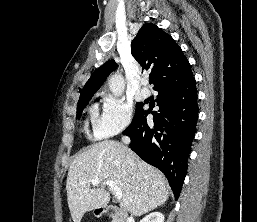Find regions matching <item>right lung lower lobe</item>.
Masks as SVG:
<instances>
[{"label": "right lung lower lobe", "instance_id": "right-lung-lower-lobe-1", "mask_svg": "<svg viewBox=\"0 0 257 222\" xmlns=\"http://www.w3.org/2000/svg\"><path fill=\"white\" fill-rule=\"evenodd\" d=\"M158 112L148 125L145 112L136 115L124 131L130 147L145 162L160 169L177 200L187 171L191 143L198 119L197 91L193 75L159 85Z\"/></svg>", "mask_w": 257, "mask_h": 222}]
</instances>
